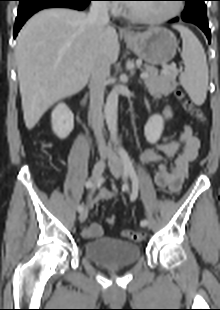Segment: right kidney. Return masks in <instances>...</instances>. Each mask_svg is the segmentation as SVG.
Listing matches in <instances>:
<instances>
[{"mask_svg":"<svg viewBox=\"0 0 220 310\" xmlns=\"http://www.w3.org/2000/svg\"><path fill=\"white\" fill-rule=\"evenodd\" d=\"M51 123L53 132L65 139L74 128V116L65 103H59L52 111Z\"/></svg>","mask_w":220,"mask_h":310,"instance_id":"right-kidney-1","label":"right kidney"}]
</instances>
